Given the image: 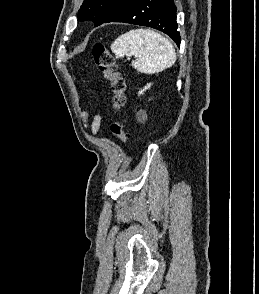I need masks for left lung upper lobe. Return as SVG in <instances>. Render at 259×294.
<instances>
[{"label": "left lung upper lobe", "mask_w": 259, "mask_h": 294, "mask_svg": "<svg viewBox=\"0 0 259 294\" xmlns=\"http://www.w3.org/2000/svg\"><path fill=\"white\" fill-rule=\"evenodd\" d=\"M124 0H84L79 10V20L94 22V26L101 25L110 12Z\"/></svg>", "instance_id": "5c2ea615"}]
</instances>
